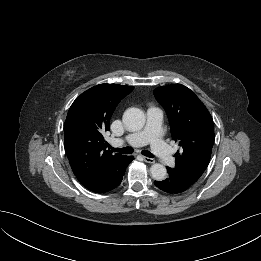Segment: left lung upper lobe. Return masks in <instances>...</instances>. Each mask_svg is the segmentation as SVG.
Returning a JSON list of instances; mask_svg holds the SVG:
<instances>
[{
    "instance_id": "obj_1",
    "label": "left lung upper lobe",
    "mask_w": 261,
    "mask_h": 261,
    "mask_svg": "<svg viewBox=\"0 0 261 261\" xmlns=\"http://www.w3.org/2000/svg\"><path fill=\"white\" fill-rule=\"evenodd\" d=\"M164 107L172 138L182 147L177 151L174 171L195 183L208 166L215 139L212 117L193 91L181 84L154 90Z\"/></svg>"
}]
</instances>
